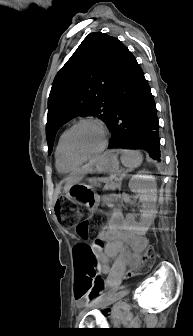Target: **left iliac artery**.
I'll return each instance as SVG.
<instances>
[{"mask_svg": "<svg viewBox=\"0 0 193 336\" xmlns=\"http://www.w3.org/2000/svg\"><path fill=\"white\" fill-rule=\"evenodd\" d=\"M97 300H98V299H96V300L92 301L91 305H92V304H94V303H96V302H97Z\"/></svg>", "mask_w": 193, "mask_h": 336, "instance_id": "left-iliac-artery-1", "label": "left iliac artery"}]
</instances>
